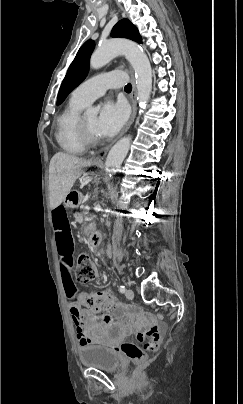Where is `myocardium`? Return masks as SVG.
<instances>
[{
	"mask_svg": "<svg viewBox=\"0 0 243 404\" xmlns=\"http://www.w3.org/2000/svg\"><path fill=\"white\" fill-rule=\"evenodd\" d=\"M89 34H99V32H89ZM104 43V41H102ZM77 131L82 138V140L87 144V145H93L96 143V137L95 135L90 134L84 127L82 119L79 118L77 122Z\"/></svg>",
	"mask_w": 243,
	"mask_h": 404,
	"instance_id": "1",
	"label": "myocardium"
}]
</instances>
